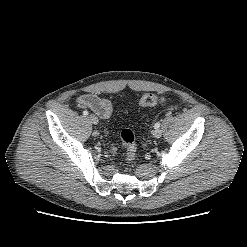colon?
I'll use <instances>...</instances> for the list:
<instances>
[{
    "mask_svg": "<svg viewBox=\"0 0 247 247\" xmlns=\"http://www.w3.org/2000/svg\"><path fill=\"white\" fill-rule=\"evenodd\" d=\"M166 99L164 96L155 94V93H145L140 98V105L142 107H151L158 103L165 102ZM121 141L126 148V162L128 164L132 163L136 157V143H135V136L132 130L124 129L121 132Z\"/></svg>",
    "mask_w": 247,
    "mask_h": 247,
    "instance_id": "obj_1",
    "label": "colon"
}]
</instances>
